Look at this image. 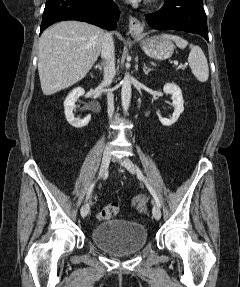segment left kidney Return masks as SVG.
Listing matches in <instances>:
<instances>
[{
    "label": "left kidney",
    "mask_w": 240,
    "mask_h": 287,
    "mask_svg": "<svg viewBox=\"0 0 240 287\" xmlns=\"http://www.w3.org/2000/svg\"><path fill=\"white\" fill-rule=\"evenodd\" d=\"M163 91L165 94L172 95V100H173L172 104L175 109L172 114V117L169 119L161 117L159 113H157V115L162 125L171 126L178 120L180 114L184 111V106H183L184 100L182 97L181 89L174 83L165 84L163 87Z\"/></svg>",
    "instance_id": "left-kidney-1"
}]
</instances>
